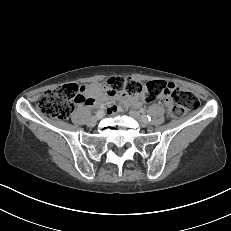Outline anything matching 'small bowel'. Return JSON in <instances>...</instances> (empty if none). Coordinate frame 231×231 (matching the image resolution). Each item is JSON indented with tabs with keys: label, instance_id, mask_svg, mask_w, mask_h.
I'll return each mask as SVG.
<instances>
[{
	"label": "small bowel",
	"instance_id": "c3829d8e",
	"mask_svg": "<svg viewBox=\"0 0 231 231\" xmlns=\"http://www.w3.org/2000/svg\"><path fill=\"white\" fill-rule=\"evenodd\" d=\"M80 91L84 97V100L79 102L80 104H85L90 107H97L102 105L103 103H109L114 100H119L121 104L125 106H133L135 108L142 107V96H126L120 95L116 92L109 90L102 83H94V84H84L80 86ZM165 102L167 101L166 96H161ZM118 107L116 105H110L108 110L110 113H114L118 111Z\"/></svg>",
	"mask_w": 231,
	"mask_h": 231
}]
</instances>
